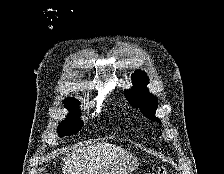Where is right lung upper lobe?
Segmentation results:
<instances>
[{
    "label": "right lung upper lobe",
    "mask_w": 224,
    "mask_h": 174,
    "mask_svg": "<svg viewBox=\"0 0 224 174\" xmlns=\"http://www.w3.org/2000/svg\"><path fill=\"white\" fill-rule=\"evenodd\" d=\"M64 104H65V106H69V105L79 104V102L74 98H67V99H65Z\"/></svg>",
    "instance_id": "right-lung-upper-lobe-1"
}]
</instances>
